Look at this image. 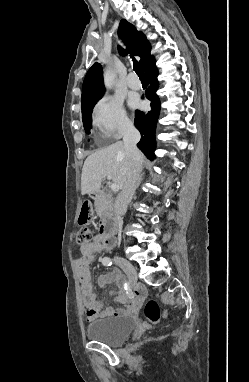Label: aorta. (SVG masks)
<instances>
[{
  "label": "aorta",
  "instance_id": "obj_1",
  "mask_svg": "<svg viewBox=\"0 0 249 382\" xmlns=\"http://www.w3.org/2000/svg\"><path fill=\"white\" fill-rule=\"evenodd\" d=\"M115 75L110 68H107L104 72V84L107 89L112 88Z\"/></svg>",
  "mask_w": 249,
  "mask_h": 382
}]
</instances>
